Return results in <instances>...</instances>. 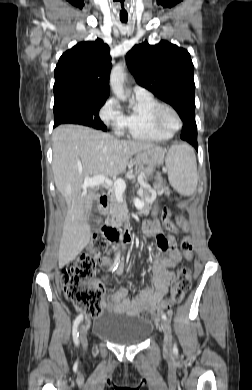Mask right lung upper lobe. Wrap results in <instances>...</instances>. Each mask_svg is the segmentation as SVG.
Masks as SVG:
<instances>
[{
    "label": "right lung upper lobe",
    "instance_id": "obj_1",
    "mask_svg": "<svg viewBox=\"0 0 252 390\" xmlns=\"http://www.w3.org/2000/svg\"><path fill=\"white\" fill-rule=\"evenodd\" d=\"M111 67L110 48L101 39L76 44L63 53L54 70L55 103L69 99L106 101Z\"/></svg>",
    "mask_w": 252,
    "mask_h": 390
}]
</instances>
